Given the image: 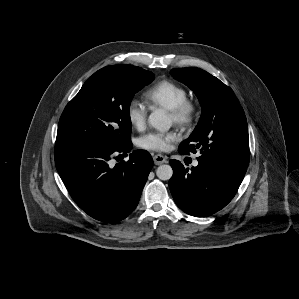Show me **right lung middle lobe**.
I'll list each match as a JSON object with an SVG mask.
<instances>
[{"label": "right lung middle lobe", "instance_id": "1", "mask_svg": "<svg viewBox=\"0 0 299 299\" xmlns=\"http://www.w3.org/2000/svg\"><path fill=\"white\" fill-rule=\"evenodd\" d=\"M154 74L132 65H112L95 72L65 107L56 142L118 148L130 141L129 106L133 95Z\"/></svg>", "mask_w": 299, "mask_h": 299}]
</instances>
